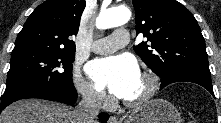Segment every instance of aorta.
<instances>
[{"instance_id": "aorta-1", "label": "aorta", "mask_w": 221, "mask_h": 123, "mask_svg": "<svg viewBox=\"0 0 221 123\" xmlns=\"http://www.w3.org/2000/svg\"><path fill=\"white\" fill-rule=\"evenodd\" d=\"M131 12L126 7L109 8L102 10L96 19L99 29H108L121 26L130 20Z\"/></svg>"}]
</instances>
